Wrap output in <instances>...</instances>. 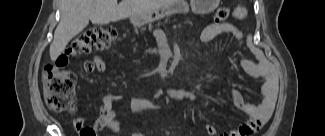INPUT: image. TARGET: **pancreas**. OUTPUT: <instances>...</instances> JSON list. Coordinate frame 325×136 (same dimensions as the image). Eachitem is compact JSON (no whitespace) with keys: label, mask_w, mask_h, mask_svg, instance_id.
<instances>
[{"label":"pancreas","mask_w":325,"mask_h":136,"mask_svg":"<svg viewBox=\"0 0 325 136\" xmlns=\"http://www.w3.org/2000/svg\"><path fill=\"white\" fill-rule=\"evenodd\" d=\"M152 22H153V23H149L148 25H149V26H156V27H158L160 24H162V25H163V24H164V25H166V24H171L172 22H175V19H172L171 17H166V18H164V19L162 18V19L159 20V23H160V24L158 23L157 20H156V21L153 20ZM155 22H156V23H155ZM150 31H151V30H150V28H148V27H147V28H142V29H141V32H142V33H147V34H148V33H150Z\"/></svg>","instance_id":"obj_1"}]
</instances>
